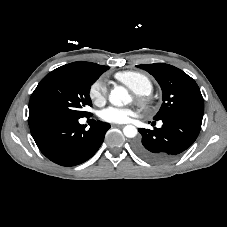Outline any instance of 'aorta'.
<instances>
[{"label": "aorta", "mask_w": 227, "mask_h": 227, "mask_svg": "<svg viewBox=\"0 0 227 227\" xmlns=\"http://www.w3.org/2000/svg\"><path fill=\"white\" fill-rule=\"evenodd\" d=\"M109 101L115 106H122L123 104L130 103L131 96L123 86H115L109 95ZM123 133L126 137L133 138L137 135V128L133 125H126Z\"/></svg>", "instance_id": "762f6f07"}]
</instances>
